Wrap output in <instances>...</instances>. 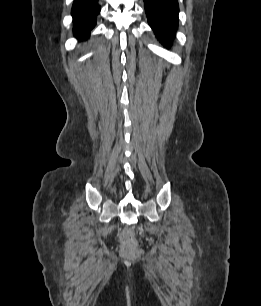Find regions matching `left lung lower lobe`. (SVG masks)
Returning <instances> with one entry per match:
<instances>
[{
	"mask_svg": "<svg viewBox=\"0 0 261 306\" xmlns=\"http://www.w3.org/2000/svg\"><path fill=\"white\" fill-rule=\"evenodd\" d=\"M148 23L157 38L170 46L178 26L177 0H144Z\"/></svg>",
	"mask_w": 261,
	"mask_h": 306,
	"instance_id": "0a47b994",
	"label": "left lung lower lobe"
}]
</instances>
